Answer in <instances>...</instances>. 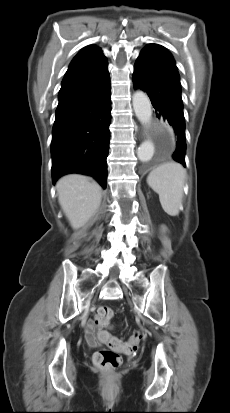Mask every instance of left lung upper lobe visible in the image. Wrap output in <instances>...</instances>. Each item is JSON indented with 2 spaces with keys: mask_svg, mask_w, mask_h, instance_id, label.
<instances>
[{
  "mask_svg": "<svg viewBox=\"0 0 230 413\" xmlns=\"http://www.w3.org/2000/svg\"><path fill=\"white\" fill-rule=\"evenodd\" d=\"M149 45H150V46L158 47V48L161 49L173 62H175L174 59H173V57H172V55H171V53H170L166 48H164L163 46L158 45V44H149Z\"/></svg>",
  "mask_w": 230,
  "mask_h": 413,
  "instance_id": "1",
  "label": "left lung upper lobe"
}]
</instances>
